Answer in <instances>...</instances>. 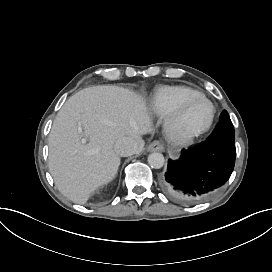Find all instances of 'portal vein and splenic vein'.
<instances>
[{"mask_svg": "<svg viewBox=\"0 0 272 272\" xmlns=\"http://www.w3.org/2000/svg\"><path fill=\"white\" fill-rule=\"evenodd\" d=\"M78 130H79L80 132H82V127H81V125H79Z\"/></svg>", "mask_w": 272, "mask_h": 272, "instance_id": "18ae733b", "label": "portal vein and splenic vein"}]
</instances>
